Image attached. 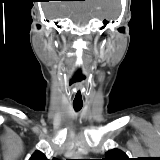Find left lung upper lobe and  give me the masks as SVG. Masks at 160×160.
Masks as SVG:
<instances>
[{"instance_id":"1","label":"left lung upper lobe","mask_w":160,"mask_h":160,"mask_svg":"<svg viewBox=\"0 0 160 160\" xmlns=\"http://www.w3.org/2000/svg\"><path fill=\"white\" fill-rule=\"evenodd\" d=\"M106 156L107 158H102V160H129L127 155L119 149L107 151Z\"/></svg>"}]
</instances>
